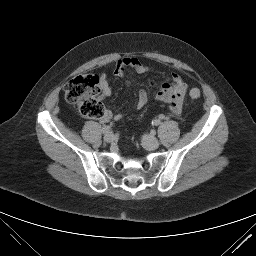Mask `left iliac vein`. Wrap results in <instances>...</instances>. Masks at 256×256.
Segmentation results:
<instances>
[{
    "mask_svg": "<svg viewBox=\"0 0 256 256\" xmlns=\"http://www.w3.org/2000/svg\"><path fill=\"white\" fill-rule=\"evenodd\" d=\"M142 144L148 150L157 149L160 145L159 140L154 136L145 134L142 137Z\"/></svg>",
    "mask_w": 256,
    "mask_h": 256,
    "instance_id": "obj_1",
    "label": "left iliac vein"
}]
</instances>
